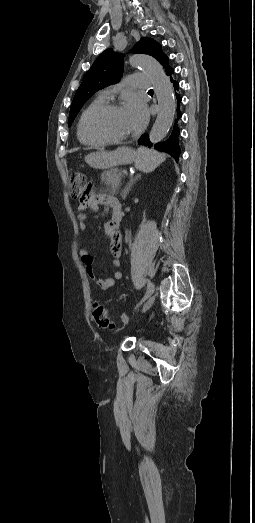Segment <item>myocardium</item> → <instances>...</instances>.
<instances>
[{"label": "myocardium", "instance_id": "myocardium-1", "mask_svg": "<svg viewBox=\"0 0 255 523\" xmlns=\"http://www.w3.org/2000/svg\"><path fill=\"white\" fill-rule=\"evenodd\" d=\"M125 106L124 102H112V101H105L102 102L94 107H92L84 116V119L82 121V128L85 133V135L94 141L100 142V143H118V142H125L132 140L136 137L134 134L133 136H126V137H108V136H100L95 133H93L89 128V121L90 119L97 113L109 110V109H119Z\"/></svg>", "mask_w": 255, "mask_h": 523}]
</instances>
